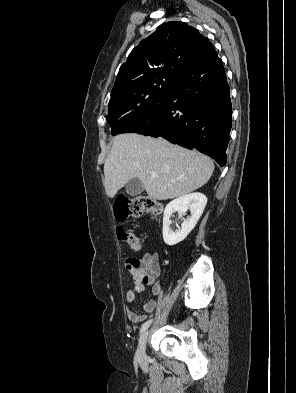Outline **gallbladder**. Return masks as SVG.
Returning a JSON list of instances; mask_svg holds the SVG:
<instances>
[{
	"mask_svg": "<svg viewBox=\"0 0 296 393\" xmlns=\"http://www.w3.org/2000/svg\"><path fill=\"white\" fill-rule=\"evenodd\" d=\"M126 193L131 196H137L144 191V186L138 178H133L125 186Z\"/></svg>",
	"mask_w": 296,
	"mask_h": 393,
	"instance_id": "gallbladder-1",
	"label": "gallbladder"
}]
</instances>
